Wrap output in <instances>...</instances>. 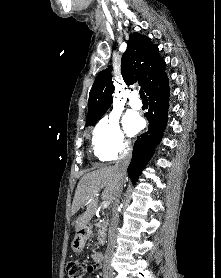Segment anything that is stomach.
<instances>
[{"label":"stomach","instance_id":"obj_1","mask_svg":"<svg viewBox=\"0 0 221 278\" xmlns=\"http://www.w3.org/2000/svg\"><path fill=\"white\" fill-rule=\"evenodd\" d=\"M86 243V236L81 233H77L71 243L72 250L76 253L82 252Z\"/></svg>","mask_w":221,"mask_h":278}]
</instances>
